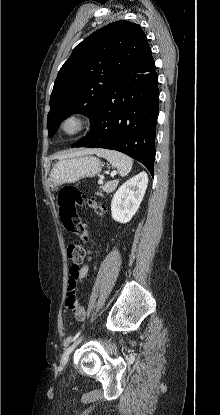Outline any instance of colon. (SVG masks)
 <instances>
[{
  "mask_svg": "<svg viewBox=\"0 0 220 415\" xmlns=\"http://www.w3.org/2000/svg\"><path fill=\"white\" fill-rule=\"evenodd\" d=\"M83 200V195L77 187L68 186L60 190L58 195V206L60 220L66 229L80 236L81 243H71L67 246V256L72 261L70 267L69 285L66 297L67 308H75L78 301V290L80 286V271L79 266L82 264L86 254V244L89 241L86 229L78 218L76 212V205L80 204ZM101 209L98 208L97 212L101 213ZM79 311H85L83 307L79 308Z\"/></svg>",
  "mask_w": 220,
  "mask_h": 415,
  "instance_id": "1",
  "label": "colon"
}]
</instances>
